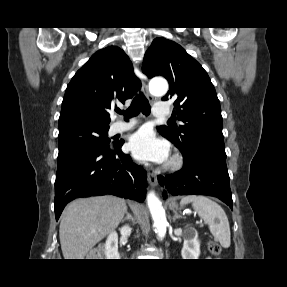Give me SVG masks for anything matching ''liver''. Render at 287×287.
<instances>
[{"instance_id":"obj_1","label":"liver","mask_w":287,"mask_h":287,"mask_svg":"<svg viewBox=\"0 0 287 287\" xmlns=\"http://www.w3.org/2000/svg\"><path fill=\"white\" fill-rule=\"evenodd\" d=\"M127 211L125 200L114 196L77 199L61 215L60 244L64 259H84L115 230Z\"/></svg>"}]
</instances>
